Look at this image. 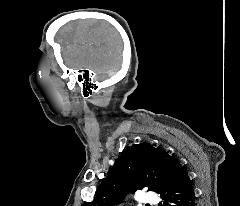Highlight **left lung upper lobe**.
I'll list each match as a JSON object with an SVG mask.
<instances>
[{
  "label": "left lung upper lobe",
  "mask_w": 240,
  "mask_h": 206,
  "mask_svg": "<svg viewBox=\"0 0 240 206\" xmlns=\"http://www.w3.org/2000/svg\"><path fill=\"white\" fill-rule=\"evenodd\" d=\"M177 160L149 143L126 147L103 180L93 201L82 206H113L127 192L148 188L162 194Z\"/></svg>",
  "instance_id": "5c2ea615"
}]
</instances>
